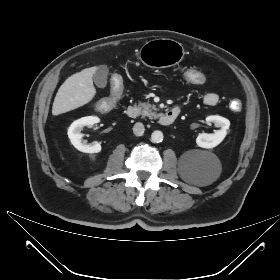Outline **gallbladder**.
<instances>
[{"label":"gallbladder","mask_w":280,"mask_h":280,"mask_svg":"<svg viewBox=\"0 0 280 280\" xmlns=\"http://www.w3.org/2000/svg\"><path fill=\"white\" fill-rule=\"evenodd\" d=\"M108 74L109 69L106 65H100L99 67H97V70L93 75L95 85L99 88L106 87Z\"/></svg>","instance_id":"gallbladder-1"}]
</instances>
